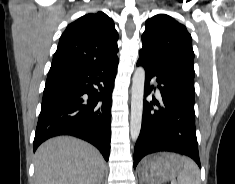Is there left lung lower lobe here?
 Here are the masks:
<instances>
[{"label":"left lung lower lobe","instance_id":"left-lung-lower-lobe-1","mask_svg":"<svg viewBox=\"0 0 235 184\" xmlns=\"http://www.w3.org/2000/svg\"><path fill=\"white\" fill-rule=\"evenodd\" d=\"M138 66L145 69L144 96L150 93V80L156 77L162 96L158 102L143 103L140 135L134 149V168L146 155L169 151L191 157L201 168L195 128L194 95L169 73L160 70L143 55ZM157 104L159 109H154Z\"/></svg>","mask_w":235,"mask_h":184}]
</instances>
